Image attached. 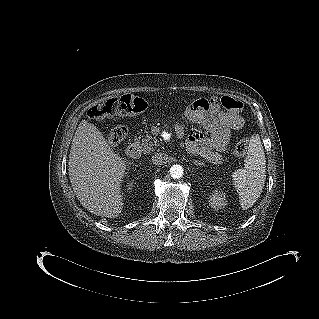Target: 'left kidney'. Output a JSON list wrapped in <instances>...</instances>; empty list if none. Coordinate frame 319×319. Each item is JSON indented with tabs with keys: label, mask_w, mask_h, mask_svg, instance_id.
Wrapping results in <instances>:
<instances>
[{
	"label": "left kidney",
	"mask_w": 319,
	"mask_h": 319,
	"mask_svg": "<svg viewBox=\"0 0 319 319\" xmlns=\"http://www.w3.org/2000/svg\"><path fill=\"white\" fill-rule=\"evenodd\" d=\"M209 205L215 209L224 208L227 205L225 195L215 190L209 198Z\"/></svg>",
	"instance_id": "1"
}]
</instances>
